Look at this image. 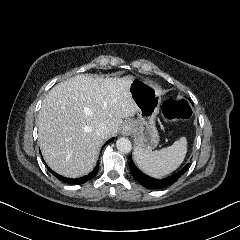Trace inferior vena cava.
I'll use <instances>...</instances> for the list:
<instances>
[{"label":"inferior vena cava","mask_w":240,"mask_h":240,"mask_svg":"<svg viewBox=\"0 0 240 240\" xmlns=\"http://www.w3.org/2000/svg\"><path fill=\"white\" fill-rule=\"evenodd\" d=\"M96 134L101 138V139H106L108 137V127L100 125L98 127V130Z\"/></svg>","instance_id":"obj_1"}]
</instances>
